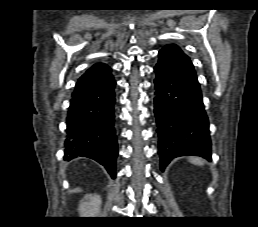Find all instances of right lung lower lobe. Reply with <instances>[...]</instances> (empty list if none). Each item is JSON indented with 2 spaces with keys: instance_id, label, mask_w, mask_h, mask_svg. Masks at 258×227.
Instances as JSON below:
<instances>
[{
  "instance_id": "right-lung-lower-lobe-1",
  "label": "right lung lower lobe",
  "mask_w": 258,
  "mask_h": 227,
  "mask_svg": "<svg viewBox=\"0 0 258 227\" xmlns=\"http://www.w3.org/2000/svg\"><path fill=\"white\" fill-rule=\"evenodd\" d=\"M115 80L109 66L98 63L77 81L67 114L65 153L88 157L114 178L118 155L114 128Z\"/></svg>"
}]
</instances>
